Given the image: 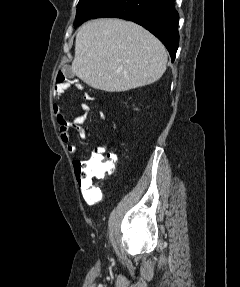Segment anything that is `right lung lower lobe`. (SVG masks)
<instances>
[{
    "instance_id": "right-lung-lower-lobe-1",
    "label": "right lung lower lobe",
    "mask_w": 240,
    "mask_h": 287,
    "mask_svg": "<svg viewBox=\"0 0 240 287\" xmlns=\"http://www.w3.org/2000/svg\"><path fill=\"white\" fill-rule=\"evenodd\" d=\"M133 21L154 34L167 48L172 62L179 44V14L174 0H108L92 17Z\"/></svg>"
}]
</instances>
